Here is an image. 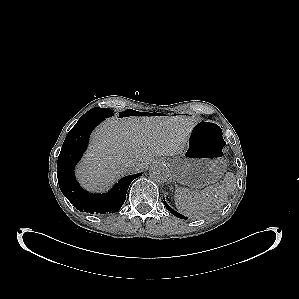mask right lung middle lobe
<instances>
[{
	"label": "right lung middle lobe",
	"mask_w": 299,
	"mask_h": 299,
	"mask_svg": "<svg viewBox=\"0 0 299 299\" xmlns=\"http://www.w3.org/2000/svg\"><path fill=\"white\" fill-rule=\"evenodd\" d=\"M113 115V112L110 109H104V108H93L89 110L87 113L82 115L80 119H86L91 117H102L107 118Z\"/></svg>",
	"instance_id": "1"
}]
</instances>
